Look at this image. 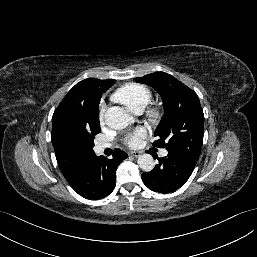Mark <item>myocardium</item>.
Wrapping results in <instances>:
<instances>
[{
  "label": "myocardium",
  "instance_id": "obj_1",
  "mask_svg": "<svg viewBox=\"0 0 257 257\" xmlns=\"http://www.w3.org/2000/svg\"><path fill=\"white\" fill-rule=\"evenodd\" d=\"M147 114L151 121L157 122L161 118L162 112L158 107H150Z\"/></svg>",
  "mask_w": 257,
  "mask_h": 257
}]
</instances>
